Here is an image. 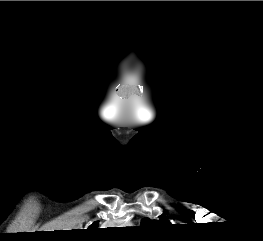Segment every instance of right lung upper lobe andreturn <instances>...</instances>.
<instances>
[{
    "instance_id": "cb5924a9",
    "label": "right lung upper lobe",
    "mask_w": 263,
    "mask_h": 241,
    "mask_svg": "<svg viewBox=\"0 0 263 241\" xmlns=\"http://www.w3.org/2000/svg\"><path fill=\"white\" fill-rule=\"evenodd\" d=\"M98 224V222H94L91 226H96Z\"/></svg>"
}]
</instances>
